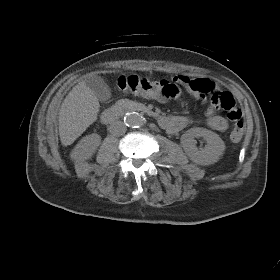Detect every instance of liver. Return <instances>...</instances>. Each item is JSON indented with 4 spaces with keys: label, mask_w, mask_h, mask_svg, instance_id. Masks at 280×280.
<instances>
[{
    "label": "liver",
    "mask_w": 280,
    "mask_h": 280,
    "mask_svg": "<svg viewBox=\"0 0 280 280\" xmlns=\"http://www.w3.org/2000/svg\"><path fill=\"white\" fill-rule=\"evenodd\" d=\"M100 104L95 93L81 81L68 93L59 111L61 143L71 145L96 121Z\"/></svg>",
    "instance_id": "6515ba94"
}]
</instances>
